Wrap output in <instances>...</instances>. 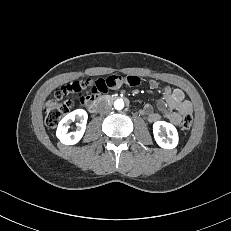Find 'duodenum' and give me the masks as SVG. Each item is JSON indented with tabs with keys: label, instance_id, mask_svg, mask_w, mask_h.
I'll return each instance as SVG.
<instances>
[{
	"label": "duodenum",
	"instance_id": "duodenum-1",
	"mask_svg": "<svg viewBox=\"0 0 231 231\" xmlns=\"http://www.w3.org/2000/svg\"><path fill=\"white\" fill-rule=\"evenodd\" d=\"M114 99H115V97L113 95H109V94H104V95L98 96L88 104V110L91 113H94L97 111V109L99 108L100 105H102L106 102L112 101Z\"/></svg>",
	"mask_w": 231,
	"mask_h": 231
}]
</instances>
